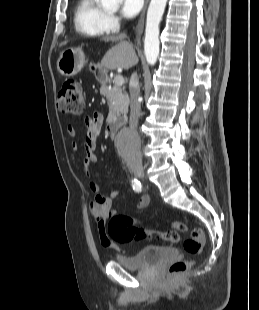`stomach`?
<instances>
[{
    "label": "stomach",
    "instance_id": "stomach-1",
    "mask_svg": "<svg viewBox=\"0 0 259 310\" xmlns=\"http://www.w3.org/2000/svg\"><path fill=\"white\" fill-rule=\"evenodd\" d=\"M85 65V55L81 48H68L64 50L57 61L59 73L71 77L79 73Z\"/></svg>",
    "mask_w": 259,
    "mask_h": 310
}]
</instances>
